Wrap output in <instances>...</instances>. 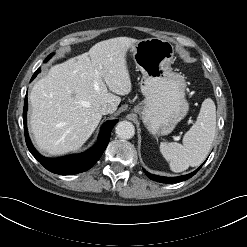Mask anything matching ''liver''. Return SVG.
Segmentation results:
<instances>
[{"mask_svg": "<svg viewBox=\"0 0 247 247\" xmlns=\"http://www.w3.org/2000/svg\"><path fill=\"white\" fill-rule=\"evenodd\" d=\"M137 42L128 37L98 42L88 52L52 66L34 84L30 126L40 151L59 156L79 149L98 126L100 107L109 104L117 110V95L132 90L126 53Z\"/></svg>", "mask_w": 247, "mask_h": 247, "instance_id": "obj_1", "label": "liver"}]
</instances>
